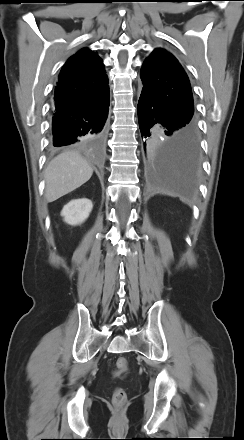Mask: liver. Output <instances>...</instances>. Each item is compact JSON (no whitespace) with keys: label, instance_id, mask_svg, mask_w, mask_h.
<instances>
[{"label":"liver","instance_id":"6515ba94","mask_svg":"<svg viewBox=\"0 0 244 440\" xmlns=\"http://www.w3.org/2000/svg\"><path fill=\"white\" fill-rule=\"evenodd\" d=\"M93 168L76 151H65L55 157L45 170V198L53 202L86 183Z\"/></svg>","mask_w":244,"mask_h":440}]
</instances>
